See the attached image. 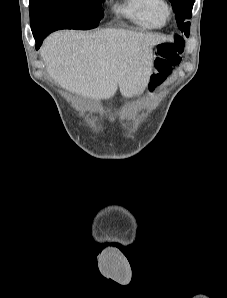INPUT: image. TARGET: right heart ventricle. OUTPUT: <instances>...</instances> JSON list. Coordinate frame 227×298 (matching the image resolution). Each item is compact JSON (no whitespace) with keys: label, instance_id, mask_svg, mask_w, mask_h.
<instances>
[{"label":"right heart ventricle","instance_id":"obj_1","mask_svg":"<svg viewBox=\"0 0 227 298\" xmlns=\"http://www.w3.org/2000/svg\"><path fill=\"white\" fill-rule=\"evenodd\" d=\"M117 11L143 29L161 28L168 19L164 0H125Z\"/></svg>","mask_w":227,"mask_h":298}]
</instances>
